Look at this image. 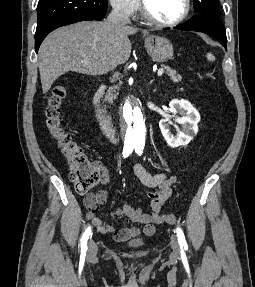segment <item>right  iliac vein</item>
<instances>
[{
	"instance_id": "right-iliac-vein-1",
	"label": "right iliac vein",
	"mask_w": 255,
	"mask_h": 287,
	"mask_svg": "<svg viewBox=\"0 0 255 287\" xmlns=\"http://www.w3.org/2000/svg\"><path fill=\"white\" fill-rule=\"evenodd\" d=\"M97 254V246L95 243L91 240L89 242V248H88V258L89 259H94Z\"/></svg>"
}]
</instances>
